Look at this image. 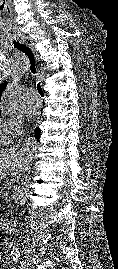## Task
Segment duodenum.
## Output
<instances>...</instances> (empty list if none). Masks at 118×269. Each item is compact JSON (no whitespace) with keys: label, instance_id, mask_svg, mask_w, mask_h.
<instances>
[{"label":"duodenum","instance_id":"1","mask_svg":"<svg viewBox=\"0 0 118 269\" xmlns=\"http://www.w3.org/2000/svg\"><path fill=\"white\" fill-rule=\"evenodd\" d=\"M16 223L14 221H6L4 223V231L7 233V234H11L15 231L16 229Z\"/></svg>","mask_w":118,"mask_h":269}]
</instances>
